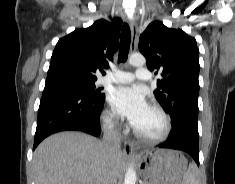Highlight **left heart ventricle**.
<instances>
[{
  "label": "left heart ventricle",
  "instance_id": "b2bd125f",
  "mask_svg": "<svg viewBox=\"0 0 235 184\" xmlns=\"http://www.w3.org/2000/svg\"><path fill=\"white\" fill-rule=\"evenodd\" d=\"M143 136H156L164 129V120L155 110L149 108L135 128Z\"/></svg>",
  "mask_w": 235,
  "mask_h": 184
}]
</instances>
